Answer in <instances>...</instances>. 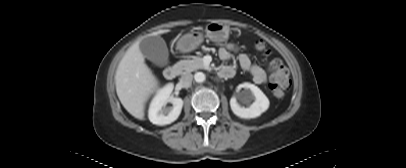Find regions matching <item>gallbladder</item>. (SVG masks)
Segmentation results:
<instances>
[{
	"label": "gallbladder",
	"instance_id": "gallbladder-1",
	"mask_svg": "<svg viewBox=\"0 0 406 168\" xmlns=\"http://www.w3.org/2000/svg\"><path fill=\"white\" fill-rule=\"evenodd\" d=\"M139 48L148 60L158 67H164L169 63V54L166 43L160 36L144 38Z\"/></svg>",
	"mask_w": 406,
	"mask_h": 168
}]
</instances>
